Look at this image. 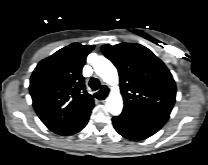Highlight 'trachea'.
I'll use <instances>...</instances> for the list:
<instances>
[{"mask_svg": "<svg viewBox=\"0 0 208 165\" xmlns=\"http://www.w3.org/2000/svg\"><path fill=\"white\" fill-rule=\"evenodd\" d=\"M89 86L93 91H96L100 88V82L97 78H91L89 81ZM107 93H108V89L103 87L99 92L95 93L94 96L99 100H103L106 98Z\"/></svg>", "mask_w": 208, "mask_h": 165, "instance_id": "3493384b", "label": "trachea"}]
</instances>
